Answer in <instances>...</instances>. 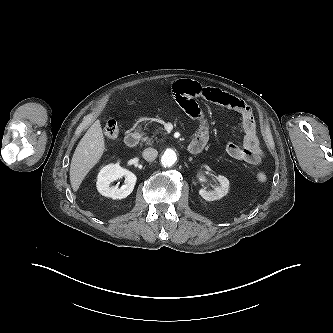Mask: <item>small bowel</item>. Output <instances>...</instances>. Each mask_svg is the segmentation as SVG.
Wrapping results in <instances>:
<instances>
[{
  "mask_svg": "<svg viewBox=\"0 0 333 333\" xmlns=\"http://www.w3.org/2000/svg\"><path fill=\"white\" fill-rule=\"evenodd\" d=\"M173 94L180 106L199 122L194 141L207 143L209 129L196 99L201 98L236 112L242 119L244 131L241 145L229 142L226 151L232 158L250 165L260 164L263 152L259 144L256 122L251 108L243 100L218 88L203 86L191 80H180L173 86Z\"/></svg>",
  "mask_w": 333,
  "mask_h": 333,
  "instance_id": "small-bowel-1",
  "label": "small bowel"
}]
</instances>
